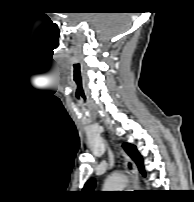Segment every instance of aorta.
I'll list each match as a JSON object with an SVG mask.
<instances>
[{
  "label": "aorta",
  "instance_id": "1",
  "mask_svg": "<svg viewBox=\"0 0 194 202\" xmlns=\"http://www.w3.org/2000/svg\"><path fill=\"white\" fill-rule=\"evenodd\" d=\"M128 183V179L123 175H112L104 184L108 191L123 190Z\"/></svg>",
  "mask_w": 194,
  "mask_h": 202
}]
</instances>
